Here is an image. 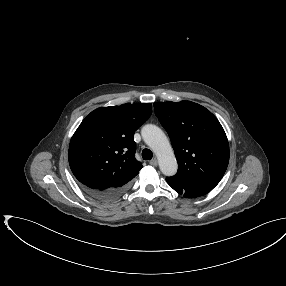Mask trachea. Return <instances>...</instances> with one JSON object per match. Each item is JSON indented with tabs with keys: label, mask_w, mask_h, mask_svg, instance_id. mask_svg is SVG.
Returning a JSON list of instances; mask_svg holds the SVG:
<instances>
[{
	"label": "trachea",
	"mask_w": 286,
	"mask_h": 286,
	"mask_svg": "<svg viewBox=\"0 0 286 286\" xmlns=\"http://www.w3.org/2000/svg\"><path fill=\"white\" fill-rule=\"evenodd\" d=\"M152 157H153V153H152V151L150 149H144L142 151V158L144 160H151Z\"/></svg>",
	"instance_id": "trachea-1"
}]
</instances>
